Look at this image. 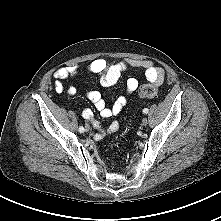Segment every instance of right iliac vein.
I'll use <instances>...</instances> for the list:
<instances>
[{
	"label": "right iliac vein",
	"instance_id": "obj_1",
	"mask_svg": "<svg viewBox=\"0 0 221 221\" xmlns=\"http://www.w3.org/2000/svg\"><path fill=\"white\" fill-rule=\"evenodd\" d=\"M86 131H89V126H86Z\"/></svg>",
	"mask_w": 221,
	"mask_h": 221
}]
</instances>
